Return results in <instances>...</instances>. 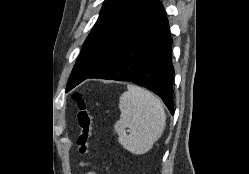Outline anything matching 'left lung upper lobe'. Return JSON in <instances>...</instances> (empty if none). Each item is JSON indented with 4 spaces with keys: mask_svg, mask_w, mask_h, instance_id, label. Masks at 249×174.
I'll list each match as a JSON object with an SVG mask.
<instances>
[{
    "mask_svg": "<svg viewBox=\"0 0 249 174\" xmlns=\"http://www.w3.org/2000/svg\"><path fill=\"white\" fill-rule=\"evenodd\" d=\"M162 8L158 0H105L72 70L66 92L74 80L88 78L104 67Z\"/></svg>",
    "mask_w": 249,
    "mask_h": 174,
    "instance_id": "left-lung-upper-lobe-1",
    "label": "left lung upper lobe"
}]
</instances>
